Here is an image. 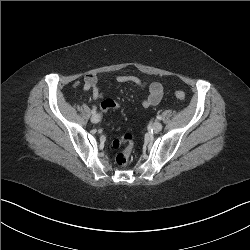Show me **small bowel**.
Returning a JSON list of instances; mask_svg holds the SVG:
<instances>
[{
	"label": "small bowel",
	"mask_w": 250,
	"mask_h": 250,
	"mask_svg": "<svg viewBox=\"0 0 250 250\" xmlns=\"http://www.w3.org/2000/svg\"><path fill=\"white\" fill-rule=\"evenodd\" d=\"M116 81L119 83H132L136 86L146 88L147 94L142 101V105L145 108L157 105L162 99L163 86L159 82L142 81L140 78L133 75H119L116 77ZM83 91H91L95 100L103 98V94L98 85V78L95 75L89 74L84 77Z\"/></svg>",
	"instance_id": "obj_1"
}]
</instances>
